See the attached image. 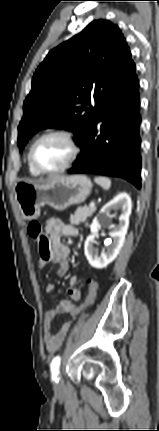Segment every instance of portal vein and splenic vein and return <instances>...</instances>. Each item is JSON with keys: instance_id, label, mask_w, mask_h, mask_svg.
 <instances>
[{"instance_id": "1", "label": "portal vein and splenic vein", "mask_w": 159, "mask_h": 431, "mask_svg": "<svg viewBox=\"0 0 159 431\" xmlns=\"http://www.w3.org/2000/svg\"><path fill=\"white\" fill-rule=\"evenodd\" d=\"M89 206H90V207H95V203H94V202H91Z\"/></svg>"}]
</instances>
